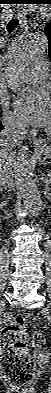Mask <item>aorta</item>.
<instances>
[{"label":"aorta","mask_w":51,"mask_h":393,"mask_svg":"<svg viewBox=\"0 0 51 393\" xmlns=\"http://www.w3.org/2000/svg\"><path fill=\"white\" fill-rule=\"evenodd\" d=\"M48 52V41L43 33L19 35L11 43L9 49V72L22 69L31 62L44 57ZM16 90L15 87H12ZM28 148H23L16 155L20 166L19 187L24 206L33 215L42 212V199L38 187L27 166Z\"/></svg>","instance_id":"aorta-1"}]
</instances>
